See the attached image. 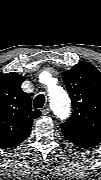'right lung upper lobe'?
<instances>
[{
	"label": "right lung upper lobe",
	"mask_w": 101,
	"mask_h": 180,
	"mask_svg": "<svg viewBox=\"0 0 101 180\" xmlns=\"http://www.w3.org/2000/svg\"><path fill=\"white\" fill-rule=\"evenodd\" d=\"M24 76L10 72L0 77V146L9 148L30 134L33 120L41 115L32 109L30 96L21 89Z\"/></svg>",
	"instance_id": "cb5924a9"
}]
</instances>
